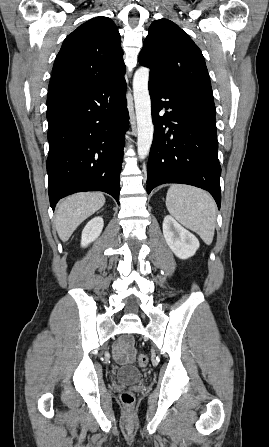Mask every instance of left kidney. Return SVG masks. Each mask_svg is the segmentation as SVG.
I'll list each match as a JSON object with an SVG mask.
<instances>
[{
    "label": "left kidney",
    "instance_id": "obj_1",
    "mask_svg": "<svg viewBox=\"0 0 269 447\" xmlns=\"http://www.w3.org/2000/svg\"><path fill=\"white\" fill-rule=\"evenodd\" d=\"M163 235L170 249L181 259H187V257L194 255L200 245L197 237L178 224L176 220H173L171 216H165L164 218Z\"/></svg>",
    "mask_w": 269,
    "mask_h": 447
}]
</instances>
